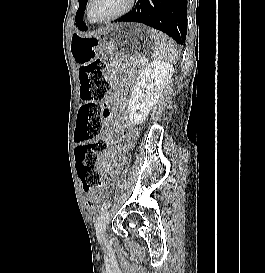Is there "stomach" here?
Listing matches in <instances>:
<instances>
[{
	"mask_svg": "<svg viewBox=\"0 0 265 273\" xmlns=\"http://www.w3.org/2000/svg\"><path fill=\"white\" fill-rule=\"evenodd\" d=\"M148 25H106V30H99V37H87L74 34L71 38V53L78 63L96 58L102 40L107 49H130L131 51H103V56H119L118 64L132 60V56H150L156 39V30H148Z\"/></svg>",
	"mask_w": 265,
	"mask_h": 273,
	"instance_id": "stomach-1",
	"label": "stomach"
}]
</instances>
